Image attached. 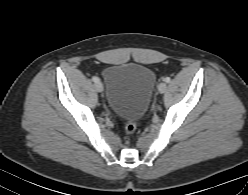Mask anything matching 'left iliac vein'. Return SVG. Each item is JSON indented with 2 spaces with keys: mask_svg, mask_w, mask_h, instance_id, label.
<instances>
[{
  "mask_svg": "<svg viewBox=\"0 0 248 195\" xmlns=\"http://www.w3.org/2000/svg\"><path fill=\"white\" fill-rule=\"evenodd\" d=\"M167 89V84L162 82L158 85V90L160 93H164Z\"/></svg>",
  "mask_w": 248,
  "mask_h": 195,
  "instance_id": "obj_1",
  "label": "left iliac vein"
}]
</instances>
